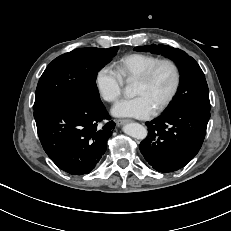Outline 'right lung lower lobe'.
Masks as SVG:
<instances>
[{
    "mask_svg": "<svg viewBox=\"0 0 231 231\" xmlns=\"http://www.w3.org/2000/svg\"><path fill=\"white\" fill-rule=\"evenodd\" d=\"M34 118L46 154L72 175L89 173L96 166L115 127L102 102L54 103L34 110Z\"/></svg>",
    "mask_w": 231,
    "mask_h": 231,
    "instance_id": "1",
    "label": "right lung lower lobe"
}]
</instances>
